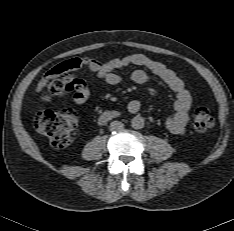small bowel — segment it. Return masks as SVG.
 I'll use <instances>...</instances> for the list:
<instances>
[{
    "instance_id": "c3829d8e",
    "label": "small bowel",
    "mask_w": 234,
    "mask_h": 231,
    "mask_svg": "<svg viewBox=\"0 0 234 231\" xmlns=\"http://www.w3.org/2000/svg\"><path fill=\"white\" fill-rule=\"evenodd\" d=\"M82 64L93 71L99 79L111 86H116L121 82V77L116 73V70L118 69L126 68L128 66H141L150 70L176 94V100L172 106L174 113L165 121L167 130L174 135L182 136L185 134L189 113L192 108V94L186 86L183 77L165 64L153 60L143 54H131L105 62L96 58H85L83 59ZM60 66L61 65H57L51 68L39 81L37 91L40 94L41 100H48L45 89L58 75ZM131 79L137 84H144L150 79V76L146 71L137 69L132 72ZM72 90L74 91L72 100L75 103H85L90 97V89L82 79H76L73 82ZM141 107V103L137 100H133L128 104V110L131 113L139 112Z\"/></svg>"
}]
</instances>
